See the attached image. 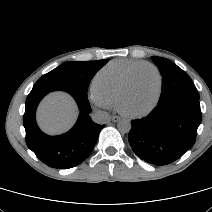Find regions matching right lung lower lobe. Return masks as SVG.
I'll return each mask as SVG.
<instances>
[{
	"mask_svg": "<svg viewBox=\"0 0 212 212\" xmlns=\"http://www.w3.org/2000/svg\"><path fill=\"white\" fill-rule=\"evenodd\" d=\"M56 90L71 94L81 113L69 132L60 136H48L38 128L35 112L41 99ZM90 113L91 107L85 94L69 88L34 86L27 97L23 116L28 148L49 167L68 169L77 166L89 156L104 127L94 123Z\"/></svg>",
	"mask_w": 212,
	"mask_h": 212,
	"instance_id": "98d812e1",
	"label": "right lung lower lobe"
}]
</instances>
